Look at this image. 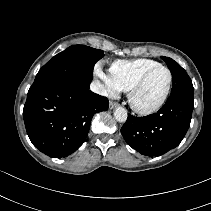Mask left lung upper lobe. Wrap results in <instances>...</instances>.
Returning <instances> with one entry per match:
<instances>
[{"label":"left lung upper lobe","instance_id":"left-lung-upper-lobe-1","mask_svg":"<svg viewBox=\"0 0 211 211\" xmlns=\"http://www.w3.org/2000/svg\"><path fill=\"white\" fill-rule=\"evenodd\" d=\"M167 64L172 74L173 87L171 94H191L194 95L192 81L186 71L173 59L161 57Z\"/></svg>","mask_w":211,"mask_h":211}]
</instances>
